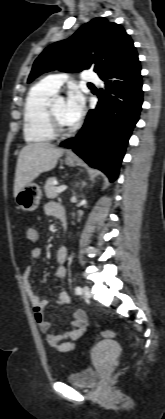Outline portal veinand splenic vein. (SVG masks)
<instances>
[{"instance_id": "portal-vein-and-splenic-vein-1", "label": "portal vein and splenic vein", "mask_w": 165, "mask_h": 419, "mask_svg": "<svg viewBox=\"0 0 165 419\" xmlns=\"http://www.w3.org/2000/svg\"><path fill=\"white\" fill-rule=\"evenodd\" d=\"M66 189H67V186H66V185H61V186H59V187L57 188V192H58V193H60V192L65 191Z\"/></svg>"}]
</instances>
